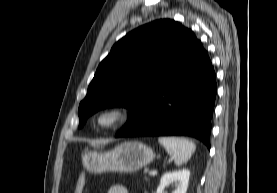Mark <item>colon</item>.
Instances as JSON below:
<instances>
[{
    "mask_svg": "<svg viewBox=\"0 0 277 193\" xmlns=\"http://www.w3.org/2000/svg\"><path fill=\"white\" fill-rule=\"evenodd\" d=\"M85 183H86L85 174L81 173V175L79 176V178L77 180L74 193H83L84 188H85Z\"/></svg>",
    "mask_w": 277,
    "mask_h": 193,
    "instance_id": "1",
    "label": "colon"
}]
</instances>
